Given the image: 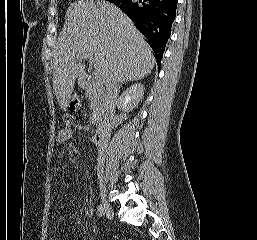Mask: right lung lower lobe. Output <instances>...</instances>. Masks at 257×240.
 Instances as JSON below:
<instances>
[{
	"instance_id": "obj_1",
	"label": "right lung lower lobe",
	"mask_w": 257,
	"mask_h": 240,
	"mask_svg": "<svg viewBox=\"0 0 257 240\" xmlns=\"http://www.w3.org/2000/svg\"><path fill=\"white\" fill-rule=\"evenodd\" d=\"M135 23L138 30L147 38L160 61L171 34V25L175 20L178 0H112Z\"/></svg>"
}]
</instances>
